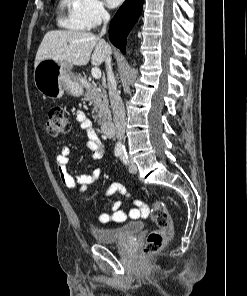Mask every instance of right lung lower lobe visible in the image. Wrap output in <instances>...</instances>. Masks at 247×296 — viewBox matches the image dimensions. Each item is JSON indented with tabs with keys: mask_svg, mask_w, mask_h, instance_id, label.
Instances as JSON below:
<instances>
[{
	"mask_svg": "<svg viewBox=\"0 0 247 296\" xmlns=\"http://www.w3.org/2000/svg\"><path fill=\"white\" fill-rule=\"evenodd\" d=\"M142 6L143 0H126L110 23L109 38L123 53L127 35L138 20Z\"/></svg>",
	"mask_w": 247,
	"mask_h": 296,
	"instance_id": "obj_1",
	"label": "right lung lower lobe"
}]
</instances>
